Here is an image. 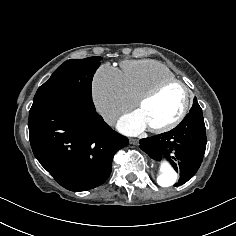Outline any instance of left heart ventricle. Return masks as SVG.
Wrapping results in <instances>:
<instances>
[{
  "label": "left heart ventricle",
  "mask_w": 236,
  "mask_h": 236,
  "mask_svg": "<svg viewBox=\"0 0 236 236\" xmlns=\"http://www.w3.org/2000/svg\"><path fill=\"white\" fill-rule=\"evenodd\" d=\"M184 91L179 85H171L147 102L141 111L147 127H160L175 120L184 105Z\"/></svg>",
  "instance_id": "left-heart-ventricle-1"
}]
</instances>
